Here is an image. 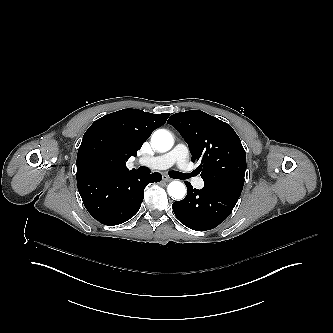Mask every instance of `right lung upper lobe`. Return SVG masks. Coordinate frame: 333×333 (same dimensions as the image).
I'll return each instance as SVG.
<instances>
[{"label": "right lung upper lobe", "instance_id": "1", "mask_svg": "<svg viewBox=\"0 0 333 333\" xmlns=\"http://www.w3.org/2000/svg\"><path fill=\"white\" fill-rule=\"evenodd\" d=\"M169 115L123 109L96 120L85 132L79 147L77 173L128 170L129 157L136 156L142 144Z\"/></svg>", "mask_w": 333, "mask_h": 333}]
</instances>
